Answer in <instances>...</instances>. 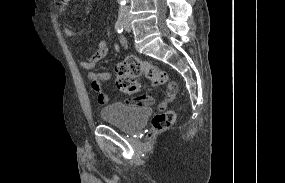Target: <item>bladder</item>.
Returning a JSON list of instances; mask_svg holds the SVG:
<instances>
[{"label": "bladder", "instance_id": "bladder-1", "mask_svg": "<svg viewBox=\"0 0 285 183\" xmlns=\"http://www.w3.org/2000/svg\"><path fill=\"white\" fill-rule=\"evenodd\" d=\"M149 106L130 105L127 103H111L101 109L103 121L125 130H133L140 126L150 115Z\"/></svg>", "mask_w": 285, "mask_h": 183}]
</instances>
